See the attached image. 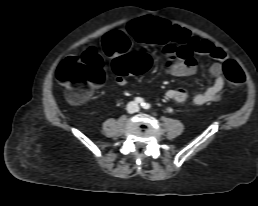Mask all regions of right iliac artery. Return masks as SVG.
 Instances as JSON below:
<instances>
[{"mask_svg":"<svg viewBox=\"0 0 258 206\" xmlns=\"http://www.w3.org/2000/svg\"><path fill=\"white\" fill-rule=\"evenodd\" d=\"M135 101L140 103V104H143L144 103V99L140 98V97H136L135 98Z\"/></svg>","mask_w":258,"mask_h":206,"instance_id":"1","label":"right iliac artery"}]
</instances>
